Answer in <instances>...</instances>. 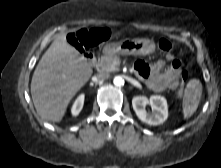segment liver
<instances>
[{
	"instance_id": "1",
	"label": "liver",
	"mask_w": 221,
	"mask_h": 168,
	"mask_svg": "<svg viewBox=\"0 0 221 168\" xmlns=\"http://www.w3.org/2000/svg\"><path fill=\"white\" fill-rule=\"evenodd\" d=\"M92 75L84 57L58 35L43 54L32 76L31 96L37 113L46 120L60 122L75 94Z\"/></svg>"
}]
</instances>
